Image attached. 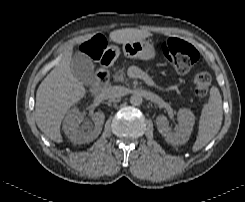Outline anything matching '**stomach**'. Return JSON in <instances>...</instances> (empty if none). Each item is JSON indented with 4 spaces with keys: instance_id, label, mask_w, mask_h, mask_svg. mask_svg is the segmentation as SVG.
Wrapping results in <instances>:
<instances>
[{
    "instance_id": "stomach-1",
    "label": "stomach",
    "mask_w": 245,
    "mask_h": 202,
    "mask_svg": "<svg viewBox=\"0 0 245 202\" xmlns=\"http://www.w3.org/2000/svg\"><path fill=\"white\" fill-rule=\"evenodd\" d=\"M109 49L115 53L116 57L119 55L117 46H111ZM123 52L128 58H139L146 61L153 60L156 55L153 44L143 39L124 43Z\"/></svg>"
}]
</instances>
